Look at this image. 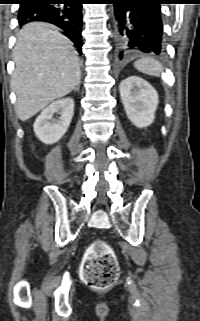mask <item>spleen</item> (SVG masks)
Returning <instances> with one entry per match:
<instances>
[{"label": "spleen", "mask_w": 200, "mask_h": 321, "mask_svg": "<svg viewBox=\"0 0 200 321\" xmlns=\"http://www.w3.org/2000/svg\"><path fill=\"white\" fill-rule=\"evenodd\" d=\"M134 66L144 74L157 77L160 76L163 71L161 63L150 57H143L141 59H138L134 62Z\"/></svg>", "instance_id": "3e777b00"}]
</instances>
